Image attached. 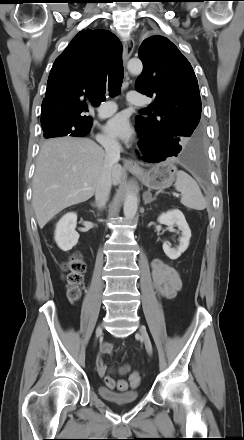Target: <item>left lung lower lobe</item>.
Returning <instances> with one entry per match:
<instances>
[{
  "label": "left lung lower lobe",
  "mask_w": 244,
  "mask_h": 440,
  "mask_svg": "<svg viewBox=\"0 0 244 440\" xmlns=\"http://www.w3.org/2000/svg\"><path fill=\"white\" fill-rule=\"evenodd\" d=\"M139 138V148L142 151L141 159L147 162H160L168 157L178 159L190 170L197 174L206 173V160L202 146V138H197L187 145L169 143L164 136L155 130L136 125Z\"/></svg>",
  "instance_id": "1"
}]
</instances>
